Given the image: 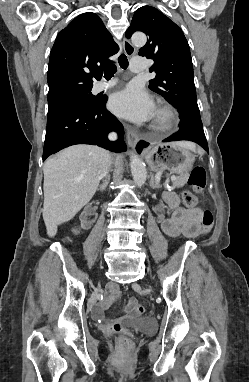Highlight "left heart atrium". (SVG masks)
<instances>
[{
  "label": "left heart atrium",
  "mask_w": 249,
  "mask_h": 382,
  "mask_svg": "<svg viewBox=\"0 0 249 382\" xmlns=\"http://www.w3.org/2000/svg\"><path fill=\"white\" fill-rule=\"evenodd\" d=\"M109 105L115 114L135 122L147 121L155 113L152 98L143 88L137 85H129L115 93L111 97Z\"/></svg>",
  "instance_id": "39dd6f15"
}]
</instances>
